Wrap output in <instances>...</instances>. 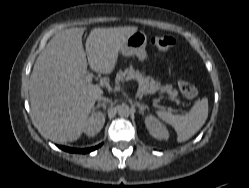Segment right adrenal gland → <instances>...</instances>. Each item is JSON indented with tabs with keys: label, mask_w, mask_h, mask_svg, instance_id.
Instances as JSON below:
<instances>
[{
	"label": "right adrenal gland",
	"mask_w": 249,
	"mask_h": 188,
	"mask_svg": "<svg viewBox=\"0 0 249 188\" xmlns=\"http://www.w3.org/2000/svg\"><path fill=\"white\" fill-rule=\"evenodd\" d=\"M107 102H109V99L103 101V103L97 104V106L93 107V111H95L96 109H98V108H100V107H103V109L105 110V109H106V103H107Z\"/></svg>",
	"instance_id": "obj_1"
}]
</instances>
